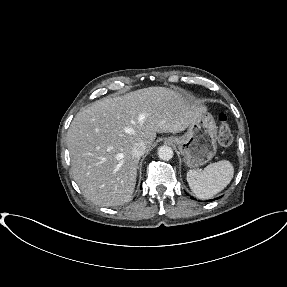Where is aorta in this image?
<instances>
[{
	"label": "aorta",
	"mask_w": 287,
	"mask_h": 287,
	"mask_svg": "<svg viewBox=\"0 0 287 287\" xmlns=\"http://www.w3.org/2000/svg\"><path fill=\"white\" fill-rule=\"evenodd\" d=\"M173 154V149L167 145H163L158 148V157L161 160L168 161L173 157Z\"/></svg>",
	"instance_id": "aorta-1"
}]
</instances>
